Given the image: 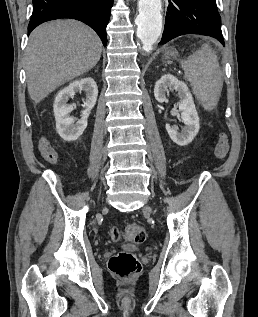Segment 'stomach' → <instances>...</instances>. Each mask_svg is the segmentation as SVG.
<instances>
[{"label":"stomach","mask_w":258,"mask_h":317,"mask_svg":"<svg viewBox=\"0 0 258 317\" xmlns=\"http://www.w3.org/2000/svg\"><path fill=\"white\" fill-rule=\"evenodd\" d=\"M177 50H170V48H167L166 52L163 54V60L164 62H170L169 58L170 56H176Z\"/></svg>","instance_id":"stomach-1"}]
</instances>
